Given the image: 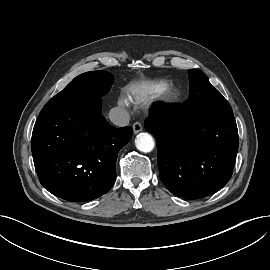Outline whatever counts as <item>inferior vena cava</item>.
<instances>
[{"label": "inferior vena cava", "instance_id": "obj_1", "mask_svg": "<svg viewBox=\"0 0 270 270\" xmlns=\"http://www.w3.org/2000/svg\"><path fill=\"white\" fill-rule=\"evenodd\" d=\"M109 119L115 125L123 127L129 124L130 116L125 109L121 107H115L109 111Z\"/></svg>", "mask_w": 270, "mask_h": 270}]
</instances>
